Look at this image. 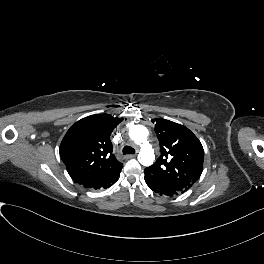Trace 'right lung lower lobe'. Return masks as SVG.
Instances as JSON below:
<instances>
[{"instance_id":"1","label":"right lung lower lobe","mask_w":264,"mask_h":264,"mask_svg":"<svg viewBox=\"0 0 264 264\" xmlns=\"http://www.w3.org/2000/svg\"><path fill=\"white\" fill-rule=\"evenodd\" d=\"M120 172H121V169L115 174H113L111 177H109L108 179L101 182L100 184L91 187V189H103V188L110 187L119 179Z\"/></svg>"}]
</instances>
